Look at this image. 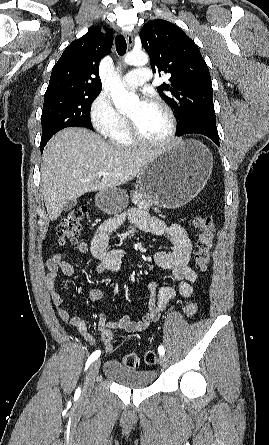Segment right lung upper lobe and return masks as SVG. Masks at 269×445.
Wrapping results in <instances>:
<instances>
[{
	"label": "right lung upper lobe",
	"instance_id": "cb5924a9",
	"mask_svg": "<svg viewBox=\"0 0 269 445\" xmlns=\"http://www.w3.org/2000/svg\"><path fill=\"white\" fill-rule=\"evenodd\" d=\"M107 29L106 26H104ZM112 32L103 34L99 26L91 27L73 41L54 65L45 94L55 92L100 93L99 62L112 47Z\"/></svg>",
	"mask_w": 269,
	"mask_h": 445
}]
</instances>
